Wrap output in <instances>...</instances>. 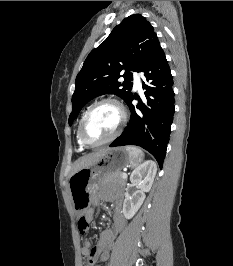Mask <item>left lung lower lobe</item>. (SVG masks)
<instances>
[{
	"label": "left lung lower lobe",
	"instance_id": "0a47b994",
	"mask_svg": "<svg viewBox=\"0 0 233 266\" xmlns=\"http://www.w3.org/2000/svg\"><path fill=\"white\" fill-rule=\"evenodd\" d=\"M140 72L144 73L145 99L133 95L126 102L131 111L129 125L110 147L137 145L149 151L162 168L171 124L175 112L173 78L163 49L158 44L150 53ZM136 98L137 110L132 105Z\"/></svg>",
	"mask_w": 233,
	"mask_h": 266
}]
</instances>
